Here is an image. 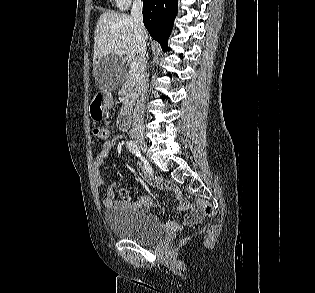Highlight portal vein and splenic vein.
Instances as JSON below:
<instances>
[{
  "instance_id": "18ae733b",
  "label": "portal vein and splenic vein",
  "mask_w": 315,
  "mask_h": 293,
  "mask_svg": "<svg viewBox=\"0 0 315 293\" xmlns=\"http://www.w3.org/2000/svg\"><path fill=\"white\" fill-rule=\"evenodd\" d=\"M137 70H138V63L134 61L130 64V73H135Z\"/></svg>"
}]
</instances>
